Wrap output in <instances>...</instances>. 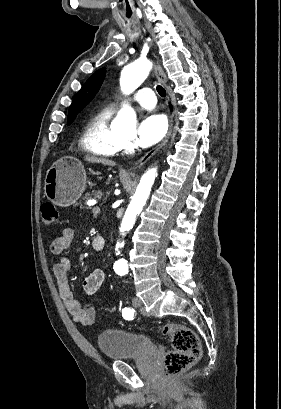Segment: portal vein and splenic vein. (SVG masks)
I'll use <instances>...</instances> for the list:
<instances>
[{"instance_id":"1","label":"portal vein and splenic vein","mask_w":281,"mask_h":409,"mask_svg":"<svg viewBox=\"0 0 281 409\" xmlns=\"http://www.w3.org/2000/svg\"><path fill=\"white\" fill-rule=\"evenodd\" d=\"M87 203V202H86ZM101 212V207L100 206H95L94 208H93V216L94 217H99L100 216V213Z\"/></svg>"}]
</instances>
